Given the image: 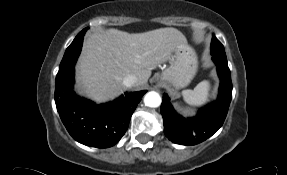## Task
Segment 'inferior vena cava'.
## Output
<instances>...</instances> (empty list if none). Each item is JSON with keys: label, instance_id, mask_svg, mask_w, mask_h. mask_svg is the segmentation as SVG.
<instances>
[{"label": "inferior vena cava", "instance_id": "602c4592", "mask_svg": "<svg viewBox=\"0 0 287 175\" xmlns=\"http://www.w3.org/2000/svg\"><path fill=\"white\" fill-rule=\"evenodd\" d=\"M138 79L135 75H127L124 79H123V84L126 87H131L134 86L135 84H137Z\"/></svg>", "mask_w": 287, "mask_h": 175}]
</instances>
